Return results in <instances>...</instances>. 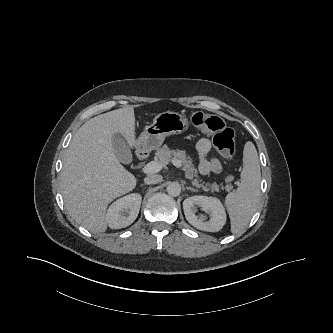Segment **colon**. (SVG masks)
I'll list each match as a JSON object with an SVG mask.
<instances>
[{
	"instance_id": "obj_1",
	"label": "colon",
	"mask_w": 333,
	"mask_h": 333,
	"mask_svg": "<svg viewBox=\"0 0 333 333\" xmlns=\"http://www.w3.org/2000/svg\"><path fill=\"white\" fill-rule=\"evenodd\" d=\"M193 125L203 132L214 133L213 144L225 158L231 159L235 154V133L225 126L221 118L215 115L196 112L192 115Z\"/></svg>"
}]
</instances>
